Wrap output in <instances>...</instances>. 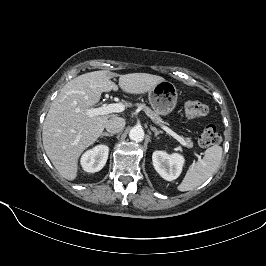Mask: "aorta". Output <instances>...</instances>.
Returning a JSON list of instances; mask_svg holds the SVG:
<instances>
[{
	"mask_svg": "<svg viewBox=\"0 0 266 266\" xmlns=\"http://www.w3.org/2000/svg\"><path fill=\"white\" fill-rule=\"evenodd\" d=\"M129 138L135 142H141L144 139V130L140 126L133 127L129 132Z\"/></svg>",
	"mask_w": 266,
	"mask_h": 266,
	"instance_id": "1",
	"label": "aorta"
}]
</instances>
